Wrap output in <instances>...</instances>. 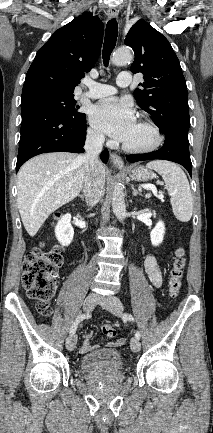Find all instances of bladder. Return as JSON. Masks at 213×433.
<instances>
[{
  "instance_id": "bladder-1",
  "label": "bladder",
  "mask_w": 213,
  "mask_h": 433,
  "mask_svg": "<svg viewBox=\"0 0 213 433\" xmlns=\"http://www.w3.org/2000/svg\"><path fill=\"white\" fill-rule=\"evenodd\" d=\"M80 367L86 374L114 373L123 368V357L119 350L99 349L85 354Z\"/></svg>"
}]
</instances>
